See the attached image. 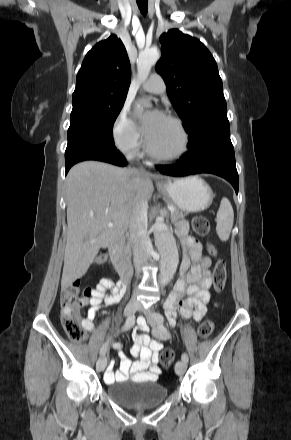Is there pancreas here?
<instances>
[{
  "instance_id": "cf45deb5",
  "label": "pancreas",
  "mask_w": 291,
  "mask_h": 440,
  "mask_svg": "<svg viewBox=\"0 0 291 440\" xmlns=\"http://www.w3.org/2000/svg\"><path fill=\"white\" fill-rule=\"evenodd\" d=\"M174 209H175V211L173 213H171L172 221L175 222V221L185 217V213L182 210H180L179 208H177L175 206H174Z\"/></svg>"
}]
</instances>
